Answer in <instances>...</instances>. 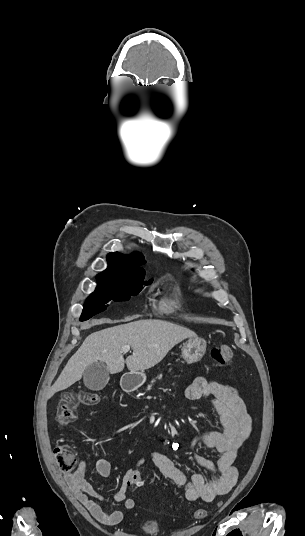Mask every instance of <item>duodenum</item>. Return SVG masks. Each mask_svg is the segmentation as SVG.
I'll list each match as a JSON object with an SVG mask.
<instances>
[{
    "label": "duodenum",
    "instance_id": "duodenum-1",
    "mask_svg": "<svg viewBox=\"0 0 305 536\" xmlns=\"http://www.w3.org/2000/svg\"><path fill=\"white\" fill-rule=\"evenodd\" d=\"M140 385V379L138 376L124 375L122 378V388L127 391H134Z\"/></svg>",
    "mask_w": 305,
    "mask_h": 536
}]
</instances>
